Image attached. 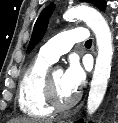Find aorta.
I'll list each match as a JSON object with an SVG mask.
<instances>
[{
  "instance_id": "1",
  "label": "aorta",
  "mask_w": 118,
  "mask_h": 123,
  "mask_svg": "<svg viewBox=\"0 0 118 123\" xmlns=\"http://www.w3.org/2000/svg\"><path fill=\"white\" fill-rule=\"evenodd\" d=\"M63 18L81 19L94 32L98 55L87 101V112L92 115L100 106L105 95L111 71L113 45L110 28L104 17L96 9L77 6L68 9Z\"/></svg>"
}]
</instances>
